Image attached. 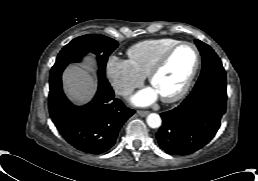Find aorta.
I'll return each instance as SVG.
<instances>
[{
    "label": "aorta",
    "instance_id": "1",
    "mask_svg": "<svg viewBox=\"0 0 258 181\" xmlns=\"http://www.w3.org/2000/svg\"><path fill=\"white\" fill-rule=\"evenodd\" d=\"M146 122L151 128H158L161 126L162 120L160 116L156 113H151L147 116Z\"/></svg>",
    "mask_w": 258,
    "mask_h": 181
}]
</instances>
